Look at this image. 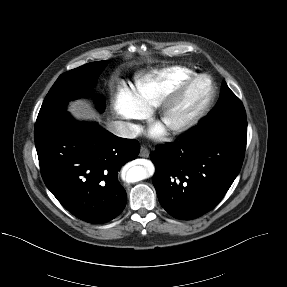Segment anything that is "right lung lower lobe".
<instances>
[{"label":"right lung lower lobe","instance_id":"obj_1","mask_svg":"<svg viewBox=\"0 0 287 287\" xmlns=\"http://www.w3.org/2000/svg\"><path fill=\"white\" fill-rule=\"evenodd\" d=\"M34 137L42 178L70 213L101 224L123 211L127 196L117 176L139 154L136 140L77 122L66 110L36 122Z\"/></svg>","mask_w":287,"mask_h":287}]
</instances>
